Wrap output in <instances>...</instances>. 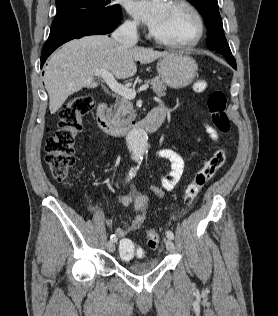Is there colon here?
Masks as SVG:
<instances>
[{"label":"colon","mask_w":278,"mask_h":316,"mask_svg":"<svg viewBox=\"0 0 278 316\" xmlns=\"http://www.w3.org/2000/svg\"><path fill=\"white\" fill-rule=\"evenodd\" d=\"M207 88L205 80H197L193 89L195 92H203ZM227 98L222 91H213L207 99V107L214 127L221 133L227 134L231 124L226 114ZM93 100L90 96H79L69 102L60 112V120L53 135L49 136L45 143L46 163L52 177L63 184H67L69 171L72 168L75 157L76 137L82 130V118L91 112ZM226 162V150L217 149L195 173L184 192V204L189 207L197 199L205 184L216 174ZM146 242L150 249L154 250L159 245V233L149 230L146 234ZM119 253L124 259L133 256L142 257L144 251L137 248L132 240L122 239L119 243Z\"/></svg>","instance_id":"colon-1"}]
</instances>
